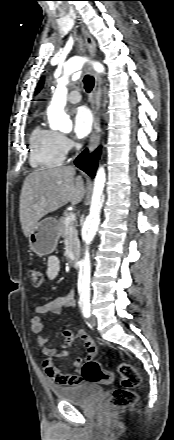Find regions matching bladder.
I'll list each match as a JSON object with an SVG mask.
<instances>
[{
	"instance_id": "1",
	"label": "bladder",
	"mask_w": 174,
	"mask_h": 440,
	"mask_svg": "<svg viewBox=\"0 0 174 440\" xmlns=\"http://www.w3.org/2000/svg\"><path fill=\"white\" fill-rule=\"evenodd\" d=\"M52 391L61 402L88 404L102 393V388L92 383H79L67 387L52 385Z\"/></svg>"
}]
</instances>
